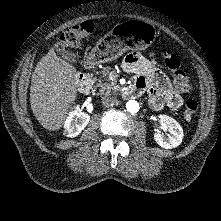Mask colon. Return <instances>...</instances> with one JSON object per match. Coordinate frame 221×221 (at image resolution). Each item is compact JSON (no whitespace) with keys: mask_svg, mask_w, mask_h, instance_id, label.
I'll use <instances>...</instances> for the list:
<instances>
[{"mask_svg":"<svg viewBox=\"0 0 221 221\" xmlns=\"http://www.w3.org/2000/svg\"><path fill=\"white\" fill-rule=\"evenodd\" d=\"M94 31V24L91 20L80 22L71 28L65 30L61 35L58 47L61 50H69L79 45L83 38L90 36ZM161 57L170 71L174 83L181 91H190L191 85L189 79L182 69L181 63L177 56L169 49L165 48L161 51ZM198 103L195 99L189 98L185 103L183 112L184 119L189 121L197 112Z\"/></svg>","mask_w":221,"mask_h":221,"instance_id":"5ec220e1","label":"colon"}]
</instances>
